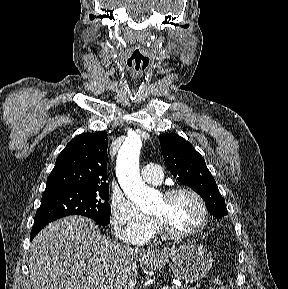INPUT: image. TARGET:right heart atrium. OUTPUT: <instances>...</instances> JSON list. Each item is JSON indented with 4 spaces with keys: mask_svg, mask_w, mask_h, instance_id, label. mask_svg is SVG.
Masks as SVG:
<instances>
[{
    "mask_svg": "<svg viewBox=\"0 0 288 289\" xmlns=\"http://www.w3.org/2000/svg\"><path fill=\"white\" fill-rule=\"evenodd\" d=\"M110 222L115 237L127 244H143L154 231L152 219L143 215L124 196L112 198Z\"/></svg>",
    "mask_w": 288,
    "mask_h": 289,
    "instance_id": "1",
    "label": "right heart atrium"
}]
</instances>
